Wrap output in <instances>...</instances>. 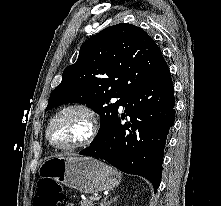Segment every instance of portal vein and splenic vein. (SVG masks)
<instances>
[{"label":"portal vein and splenic vein","mask_w":221,"mask_h":206,"mask_svg":"<svg viewBox=\"0 0 221 206\" xmlns=\"http://www.w3.org/2000/svg\"><path fill=\"white\" fill-rule=\"evenodd\" d=\"M90 199H91V200H99V197H98V198H92V197H91Z\"/></svg>","instance_id":"18ae733b"}]
</instances>
